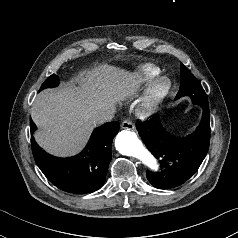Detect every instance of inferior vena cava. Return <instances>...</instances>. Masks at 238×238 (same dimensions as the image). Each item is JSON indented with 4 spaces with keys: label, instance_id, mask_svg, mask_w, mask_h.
Segmentation results:
<instances>
[{
    "label": "inferior vena cava",
    "instance_id": "obj_1",
    "mask_svg": "<svg viewBox=\"0 0 238 238\" xmlns=\"http://www.w3.org/2000/svg\"><path fill=\"white\" fill-rule=\"evenodd\" d=\"M114 112H115L114 110L101 112L95 117V122L97 124H103V123L111 121L113 119Z\"/></svg>",
    "mask_w": 238,
    "mask_h": 238
}]
</instances>
